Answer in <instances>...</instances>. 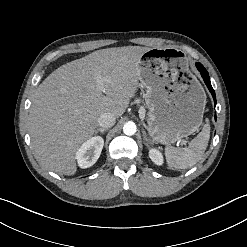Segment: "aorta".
Segmentation results:
<instances>
[{"label": "aorta", "mask_w": 247, "mask_h": 247, "mask_svg": "<svg viewBox=\"0 0 247 247\" xmlns=\"http://www.w3.org/2000/svg\"><path fill=\"white\" fill-rule=\"evenodd\" d=\"M123 132L125 135L132 136L136 133V125L133 122H127L123 126Z\"/></svg>", "instance_id": "obj_1"}]
</instances>
